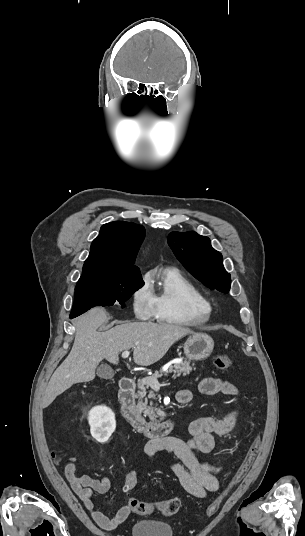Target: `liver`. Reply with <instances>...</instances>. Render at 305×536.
<instances>
[{
  "mask_svg": "<svg viewBox=\"0 0 305 536\" xmlns=\"http://www.w3.org/2000/svg\"><path fill=\"white\" fill-rule=\"evenodd\" d=\"M104 308H93L87 314L72 320L76 328L73 348L63 364L54 372L43 396L42 408H47L59 394L79 382H91L102 360L119 364V354L134 348L133 360L137 366H151L161 360L170 346L194 334L189 328L175 324L149 322H113L120 324L107 332H97L108 322Z\"/></svg>",
  "mask_w": 305,
  "mask_h": 536,
  "instance_id": "obj_1",
  "label": "liver"
}]
</instances>
